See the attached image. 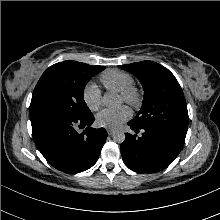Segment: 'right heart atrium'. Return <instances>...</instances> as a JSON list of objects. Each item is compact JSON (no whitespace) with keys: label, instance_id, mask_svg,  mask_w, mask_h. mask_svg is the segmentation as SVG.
<instances>
[{"label":"right heart atrium","instance_id":"right-heart-atrium-1","mask_svg":"<svg viewBox=\"0 0 220 220\" xmlns=\"http://www.w3.org/2000/svg\"><path fill=\"white\" fill-rule=\"evenodd\" d=\"M82 97L84 103L91 111H95L101 106V91L94 83H90L84 88Z\"/></svg>","mask_w":220,"mask_h":220}]
</instances>
